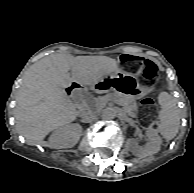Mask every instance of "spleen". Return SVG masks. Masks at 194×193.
Instances as JSON below:
<instances>
[{"label":"spleen","instance_id":"obj_1","mask_svg":"<svg viewBox=\"0 0 194 193\" xmlns=\"http://www.w3.org/2000/svg\"><path fill=\"white\" fill-rule=\"evenodd\" d=\"M161 111L159 113L160 123L158 130L166 140H172L179 131L180 114L177 107L176 99L167 92L159 95Z\"/></svg>","mask_w":194,"mask_h":193}]
</instances>
